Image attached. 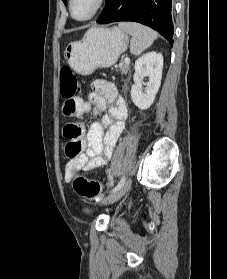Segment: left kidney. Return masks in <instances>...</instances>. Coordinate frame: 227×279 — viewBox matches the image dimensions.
<instances>
[{
	"instance_id": "obj_1",
	"label": "left kidney",
	"mask_w": 227,
	"mask_h": 279,
	"mask_svg": "<svg viewBox=\"0 0 227 279\" xmlns=\"http://www.w3.org/2000/svg\"><path fill=\"white\" fill-rule=\"evenodd\" d=\"M134 84L131 87V99L141 110L148 109L154 102L162 78L163 56L160 53L149 52L139 57L135 62ZM149 78L143 90V79Z\"/></svg>"
}]
</instances>
